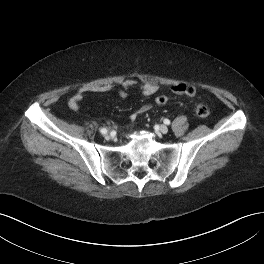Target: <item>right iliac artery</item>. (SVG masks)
I'll use <instances>...</instances> for the list:
<instances>
[{"label": "right iliac artery", "instance_id": "obj_1", "mask_svg": "<svg viewBox=\"0 0 264 264\" xmlns=\"http://www.w3.org/2000/svg\"><path fill=\"white\" fill-rule=\"evenodd\" d=\"M100 132H101L102 134H105V133H107V129H106V128H101V129H100Z\"/></svg>", "mask_w": 264, "mask_h": 264}]
</instances>
